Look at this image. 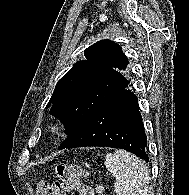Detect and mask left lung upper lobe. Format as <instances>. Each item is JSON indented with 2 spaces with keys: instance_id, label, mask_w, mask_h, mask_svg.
I'll use <instances>...</instances> for the list:
<instances>
[{
  "instance_id": "left-lung-upper-lobe-1",
  "label": "left lung upper lobe",
  "mask_w": 189,
  "mask_h": 195,
  "mask_svg": "<svg viewBox=\"0 0 189 195\" xmlns=\"http://www.w3.org/2000/svg\"><path fill=\"white\" fill-rule=\"evenodd\" d=\"M84 55L87 60L76 62L58 81L46 106L64 123L67 136L129 84L118 71L126 68L128 60L117 43L101 40L85 49Z\"/></svg>"
}]
</instances>
